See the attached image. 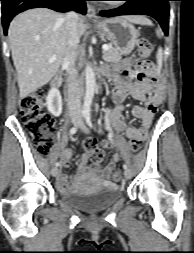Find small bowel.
Listing matches in <instances>:
<instances>
[{
    "mask_svg": "<svg viewBox=\"0 0 194 253\" xmlns=\"http://www.w3.org/2000/svg\"><path fill=\"white\" fill-rule=\"evenodd\" d=\"M136 61H141L140 67L128 59L114 66L110 71L105 70L115 86L113 92L115 107L108 117L107 128L109 134L108 138L101 142L102 149L114 148L113 130L124 133L130 140L138 138L143 141L148 135L157 107L164 100L165 87L162 81L154 77L153 71L156 68L153 60H148V56H136ZM128 96H132L145 104L143 107H134L132 109L133 116L141 120V125L138 128L128 126L123 118L124 101ZM72 156L73 150L71 148L62 151L60 155L62 168L69 166ZM89 159L90 152L86 151L80 159L78 173L83 174L92 171L100 178L108 179L114 171L116 163L120 161L121 155L114 153L105 167H101L100 163H92L89 166ZM56 184L61 191L70 189V181L62 172L58 173Z\"/></svg>",
    "mask_w": 194,
    "mask_h": 253,
    "instance_id": "small-bowel-1",
    "label": "small bowel"
}]
</instances>
